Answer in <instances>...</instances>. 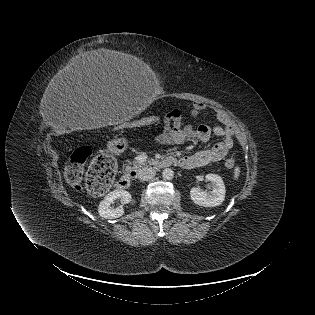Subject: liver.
I'll use <instances>...</instances> for the list:
<instances>
[{"label": "liver", "mask_w": 315, "mask_h": 315, "mask_svg": "<svg viewBox=\"0 0 315 315\" xmlns=\"http://www.w3.org/2000/svg\"><path fill=\"white\" fill-rule=\"evenodd\" d=\"M136 59L126 53L99 49L90 52L63 73L70 80L117 79L128 74ZM111 121V119H110ZM111 123V122H109Z\"/></svg>", "instance_id": "6515ba94"}]
</instances>
